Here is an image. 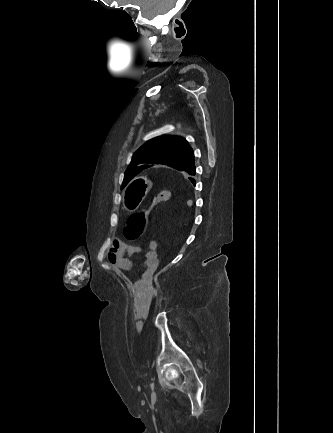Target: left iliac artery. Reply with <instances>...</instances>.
<instances>
[{
  "label": "left iliac artery",
  "mask_w": 333,
  "mask_h": 433,
  "mask_svg": "<svg viewBox=\"0 0 333 433\" xmlns=\"http://www.w3.org/2000/svg\"><path fill=\"white\" fill-rule=\"evenodd\" d=\"M150 387H151V389L153 390V389H154V383H151V384H150Z\"/></svg>",
  "instance_id": "1"
}]
</instances>
